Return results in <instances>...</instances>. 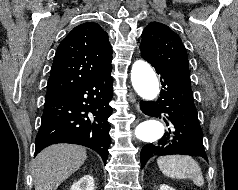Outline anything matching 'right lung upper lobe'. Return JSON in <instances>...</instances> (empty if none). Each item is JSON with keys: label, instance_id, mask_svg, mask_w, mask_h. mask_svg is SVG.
<instances>
[{"label": "right lung upper lobe", "instance_id": "right-lung-upper-lobe-1", "mask_svg": "<svg viewBox=\"0 0 238 190\" xmlns=\"http://www.w3.org/2000/svg\"><path fill=\"white\" fill-rule=\"evenodd\" d=\"M108 34L93 22L75 27L57 48L45 101L60 97L112 68Z\"/></svg>", "mask_w": 238, "mask_h": 190}]
</instances>
